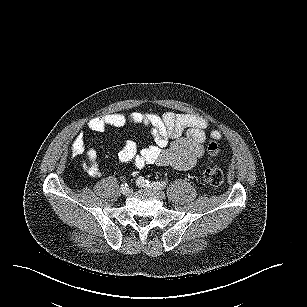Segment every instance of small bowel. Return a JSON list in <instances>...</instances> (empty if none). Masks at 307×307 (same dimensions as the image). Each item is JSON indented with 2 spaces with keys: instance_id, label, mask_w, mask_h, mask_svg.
Segmentation results:
<instances>
[{
  "instance_id": "c3829d8e",
  "label": "small bowel",
  "mask_w": 307,
  "mask_h": 307,
  "mask_svg": "<svg viewBox=\"0 0 307 307\" xmlns=\"http://www.w3.org/2000/svg\"><path fill=\"white\" fill-rule=\"evenodd\" d=\"M127 124H141L148 127L154 143L139 150L134 141H126L118 153V161L122 165L132 164L136 170L150 164L190 170L205 154L204 145L209 123L204 117L196 114H177L171 111L161 115L115 113L94 117L88 121L87 127L94 132H103L108 128H123ZM210 137L220 139L221 132L213 130ZM71 152L73 156L85 155L81 165L89 176L98 177L103 174L97 162L96 151L85 147L83 133H78L74 138Z\"/></svg>"
}]
</instances>
